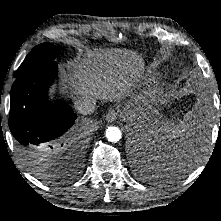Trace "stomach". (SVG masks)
Wrapping results in <instances>:
<instances>
[{"label":"stomach","mask_w":221,"mask_h":221,"mask_svg":"<svg viewBox=\"0 0 221 221\" xmlns=\"http://www.w3.org/2000/svg\"><path fill=\"white\" fill-rule=\"evenodd\" d=\"M157 158L160 159L161 158L160 155H158Z\"/></svg>","instance_id":"0dacf381"}]
</instances>
